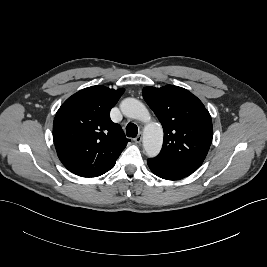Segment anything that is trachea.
Instances as JSON below:
<instances>
[{
    "mask_svg": "<svg viewBox=\"0 0 267 267\" xmlns=\"http://www.w3.org/2000/svg\"><path fill=\"white\" fill-rule=\"evenodd\" d=\"M138 134V127L134 123H128L126 126V135L128 137H136Z\"/></svg>",
    "mask_w": 267,
    "mask_h": 267,
    "instance_id": "trachea-1",
    "label": "trachea"
}]
</instances>
